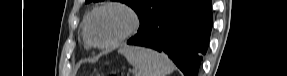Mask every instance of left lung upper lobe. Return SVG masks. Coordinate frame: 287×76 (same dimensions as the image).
<instances>
[{
  "instance_id": "1",
  "label": "left lung upper lobe",
  "mask_w": 287,
  "mask_h": 76,
  "mask_svg": "<svg viewBox=\"0 0 287 76\" xmlns=\"http://www.w3.org/2000/svg\"><path fill=\"white\" fill-rule=\"evenodd\" d=\"M103 0H86L85 3L101 2ZM129 5L138 14L140 27L138 32L155 15L165 10L174 0H116Z\"/></svg>"
}]
</instances>
